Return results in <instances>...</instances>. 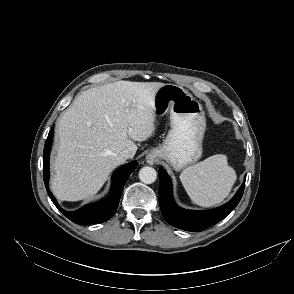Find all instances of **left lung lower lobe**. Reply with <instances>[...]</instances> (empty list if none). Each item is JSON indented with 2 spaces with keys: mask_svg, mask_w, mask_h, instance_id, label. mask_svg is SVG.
<instances>
[{
  "mask_svg": "<svg viewBox=\"0 0 294 294\" xmlns=\"http://www.w3.org/2000/svg\"><path fill=\"white\" fill-rule=\"evenodd\" d=\"M158 174V197L165 220L170 225L187 231H203L227 217L239 203L245 186L244 181L235 196L221 207L206 211H190L178 207L173 201L171 180L168 174L163 169H159Z\"/></svg>",
  "mask_w": 294,
  "mask_h": 294,
  "instance_id": "left-lung-lower-lobe-1",
  "label": "left lung lower lobe"
}]
</instances>
